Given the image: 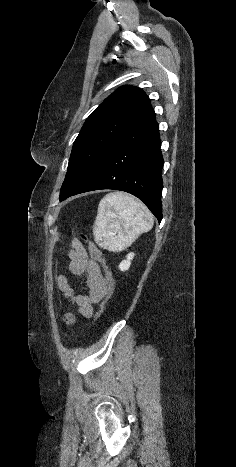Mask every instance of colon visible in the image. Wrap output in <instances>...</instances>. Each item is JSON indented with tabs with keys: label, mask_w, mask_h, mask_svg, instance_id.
I'll return each mask as SVG.
<instances>
[{
	"label": "colon",
	"mask_w": 236,
	"mask_h": 467,
	"mask_svg": "<svg viewBox=\"0 0 236 467\" xmlns=\"http://www.w3.org/2000/svg\"><path fill=\"white\" fill-rule=\"evenodd\" d=\"M82 239L88 244V250H89V253L91 255V257L99 262L102 266H103V269H104V272H105V279H106V285H107V289H108V293L107 295L105 296V300L102 302L101 306H100V309L96 315V319H98L104 309H105V304L108 300V298L110 297L111 293H112V290H113V287H114V279H113V276H112V273L111 271L109 270L108 266L106 265L105 263V260L100 252V250L92 243L89 241L88 237L86 235H82Z\"/></svg>",
	"instance_id": "colon-1"
}]
</instances>
